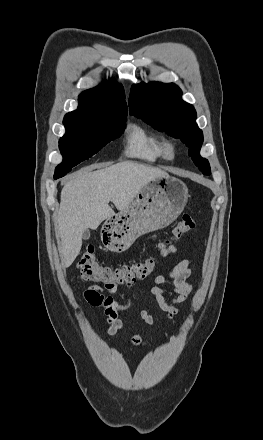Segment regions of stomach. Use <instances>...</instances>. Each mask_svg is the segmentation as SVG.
<instances>
[{
    "label": "stomach",
    "mask_w": 263,
    "mask_h": 440,
    "mask_svg": "<svg viewBox=\"0 0 263 440\" xmlns=\"http://www.w3.org/2000/svg\"><path fill=\"white\" fill-rule=\"evenodd\" d=\"M188 197L187 186L178 178L150 181L125 209L106 219L101 235L107 249L125 251L138 237L167 227L182 213Z\"/></svg>",
    "instance_id": "0dacf381"
}]
</instances>
